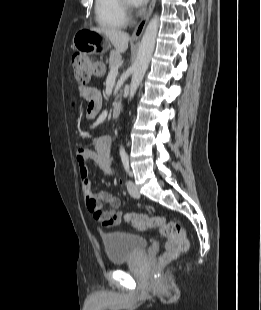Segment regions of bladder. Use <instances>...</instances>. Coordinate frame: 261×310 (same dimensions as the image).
<instances>
[{"label":"bladder","mask_w":261,"mask_h":310,"mask_svg":"<svg viewBox=\"0 0 261 310\" xmlns=\"http://www.w3.org/2000/svg\"><path fill=\"white\" fill-rule=\"evenodd\" d=\"M105 252L112 264L118 265L134 259L147 246L142 235L123 231H114L103 238Z\"/></svg>","instance_id":"31cf9c89"}]
</instances>
